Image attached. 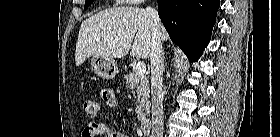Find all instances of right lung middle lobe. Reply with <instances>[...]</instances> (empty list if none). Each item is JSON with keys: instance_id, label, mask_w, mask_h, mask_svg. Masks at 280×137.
Instances as JSON below:
<instances>
[{"instance_id": "dd1d6c3e", "label": "right lung middle lobe", "mask_w": 280, "mask_h": 137, "mask_svg": "<svg viewBox=\"0 0 280 137\" xmlns=\"http://www.w3.org/2000/svg\"><path fill=\"white\" fill-rule=\"evenodd\" d=\"M94 0H86L84 8H88Z\"/></svg>"}]
</instances>
